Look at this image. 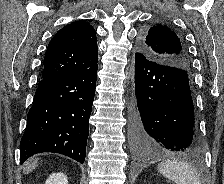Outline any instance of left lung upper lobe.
I'll return each instance as SVG.
<instances>
[{
	"label": "left lung upper lobe",
	"mask_w": 224,
	"mask_h": 184,
	"mask_svg": "<svg viewBox=\"0 0 224 184\" xmlns=\"http://www.w3.org/2000/svg\"><path fill=\"white\" fill-rule=\"evenodd\" d=\"M138 46L137 53L150 61L189 70L188 53L182 40L164 25H155L146 30Z\"/></svg>",
	"instance_id": "5c2ea615"
}]
</instances>
